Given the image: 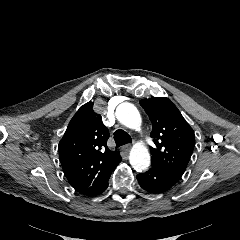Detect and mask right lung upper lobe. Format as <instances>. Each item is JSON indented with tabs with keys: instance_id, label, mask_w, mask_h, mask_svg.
Instances as JSON below:
<instances>
[{
	"instance_id": "obj_1",
	"label": "right lung upper lobe",
	"mask_w": 240,
	"mask_h": 240,
	"mask_svg": "<svg viewBox=\"0 0 240 240\" xmlns=\"http://www.w3.org/2000/svg\"><path fill=\"white\" fill-rule=\"evenodd\" d=\"M108 129L88 102L76 112L59 143V158L73 188L91 196L120 163L121 156L107 147Z\"/></svg>"
}]
</instances>
